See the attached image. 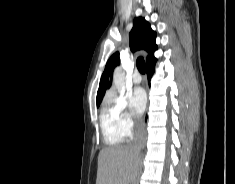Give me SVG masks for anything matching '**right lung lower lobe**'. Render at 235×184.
Returning <instances> with one entry per match:
<instances>
[{"label": "right lung lower lobe", "instance_id": "98d812e1", "mask_svg": "<svg viewBox=\"0 0 235 184\" xmlns=\"http://www.w3.org/2000/svg\"><path fill=\"white\" fill-rule=\"evenodd\" d=\"M155 63H156V62H155ZM155 63L150 64L149 66H146V73H147V77H148L149 83H150V78H151V76H152L153 73H154V66H155Z\"/></svg>", "mask_w": 235, "mask_h": 184}]
</instances>
